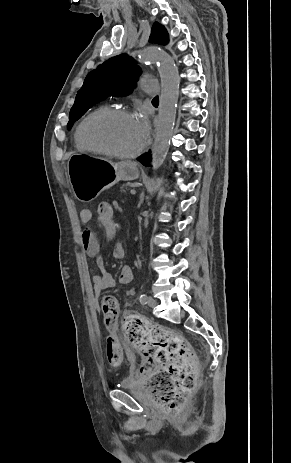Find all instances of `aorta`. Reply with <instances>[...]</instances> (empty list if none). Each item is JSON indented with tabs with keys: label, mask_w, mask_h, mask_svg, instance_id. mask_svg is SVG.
<instances>
[{
	"label": "aorta",
	"mask_w": 291,
	"mask_h": 463,
	"mask_svg": "<svg viewBox=\"0 0 291 463\" xmlns=\"http://www.w3.org/2000/svg\"><path fill=\"white\" fill-rule=\"evenodd\" d=\"M139 61L157 62L161 77V95L158 123L152 146V167L158 169L164 162L170 145L179 94V74L172 58L157 48L148 47L139 53Z\"/></svg>",
	"instance_id": "obj_1"
}]
</instances>
